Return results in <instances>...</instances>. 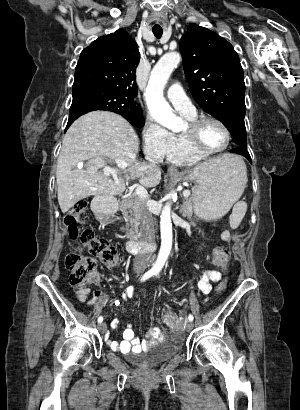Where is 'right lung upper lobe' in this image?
<instances>
[{
	"mask_svg": "<svg viewBox=\"0 0 300 410\" xmlns=\"http://www.w3.org/2000/svg\"><path fill=\"white\" fill-rule=\"evenodd\" d=\"M139 61L135 40L119 29L81 52L73 85L87 83L115 93L124 101L125 114L142 111L136 101L135 69Z\"/></svg>",
	"mask_w": 300,
	"mask_h": 410,
	"instance_id": "obj_1",
	"label": "right lung upper lobe"
}]
</instances>
